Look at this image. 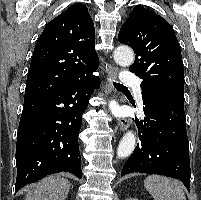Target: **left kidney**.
Masks as SVG:
<instances>
[{"label":"left kidney","mask_w":201,"mask_h":200,"mask_svg":"<svg viewBox=\"0 0 201 200\" xmlns=\"http://www.w3.org/2000/svg\"><path fill=\"white\" fill-rule=\"evenodd\" d=\"M126 200H138V199H136V198H129V199H126Z\"/></svg>","instance_id":"1"}]
</instances>
